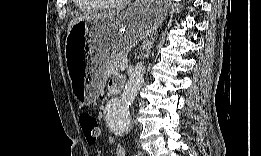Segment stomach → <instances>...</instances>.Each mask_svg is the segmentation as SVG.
<instances>
[{"mask_svg": "<svg viewBox=\"0 0 261 156\" xmlns=\"http://www.w3.org/2000/svg\"><path fill=\"white\" fill-rule=\"evenodd\" d=\"M166 13L161 5L136 2L115 17L82 21L72 27L65 56L72 91L81 105H90L99 96L105 81L103 67L110 56L151 36ZM85 48H89L88 65L78 68L75 59Z\"/></svg>", "mask_w": 261, "mask_h": 156, "instance_id": "obj_1", "label": "stomach"}]
</instances>
